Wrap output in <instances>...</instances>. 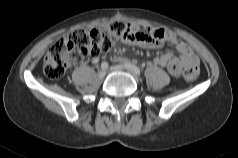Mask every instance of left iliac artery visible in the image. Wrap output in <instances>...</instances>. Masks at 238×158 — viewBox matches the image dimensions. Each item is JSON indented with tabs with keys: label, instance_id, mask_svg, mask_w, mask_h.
Returning <instances> with one entry per match:
<instances>
[{
	"label": "left iliac artery",
	"instance_id": "left-iliac-artery-1",
	"mask_svg": "<svg viewBox=\"0 0 238 158\" xmlns=\"http://www.w3.org/2000/svg\"><path fill=\"white\" fill-rule=\"evenodd\" d=\"M124 67L131 70L135 75H140V73H141L140 69L136 65H134L130 62H125Z\"/></svg>",
	"mask_w": 238,
	"mask_h": 158
}]
</instances>
